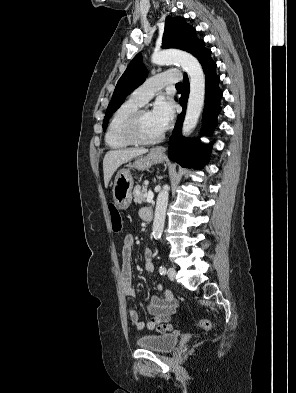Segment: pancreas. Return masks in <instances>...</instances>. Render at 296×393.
Instances as JSON below:
<instances>
[{"label": "pancreas", "instance_id": "pancreas-1", "mask_svg": "<svg viewBox=\"0 0 296 393\" xmlns=\"http://www.w3.org/2000/svg\"><path fill=\"white\" fill-rule=\"evenodd\" d=\"M134 202L136 204H142L145 202L147 197V186L143 185L142 187L137 185L133 191Z\"/></svg>", "mask_w": 296, "mask_h": 393}]
</instances>
